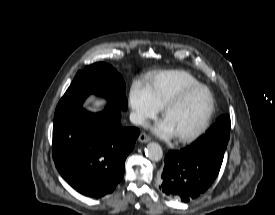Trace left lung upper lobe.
Here are the masks:
<instances>
[{"label":"left lung upper lobe","mask_w":275,"mask_h":215,"mask_svg":"<svg viewBox=\"0 0 275 215\" xmlns=\"http://www.w3.org/2000/svg\"><path fill=\"white\" fill-rule=\"evenodd\" d=\"M229 137L230 117L221 115L216 123L187 149L195 155L207 157L222 164Z\"/></svg>","instance_id":"left-lung-upper-lobe-1"}]
</instances>
